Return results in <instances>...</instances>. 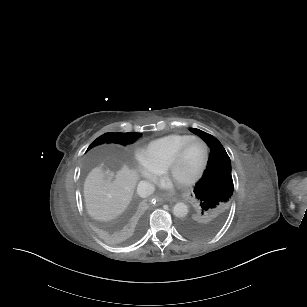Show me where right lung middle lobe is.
Returning <instances> with one entry per match:
<instances>
[{"instance_id": "right-lung-middle-lobe-1", "label": "right lung middle lobe", "mask_w": 307, "mask_h": 307, "mask_svg": "<svg viewBox=\"0 0 307 307\" xmlns=\"http://www.w3.org/2000/svg\"><path fill=\"white\" fill-rule=\"evenodd\" d=\"M140 137V133L129 132V133H105L98 137L89 147L90 148L102 144V143H119V144H131Z\"/></svg>"}]
</instances>
